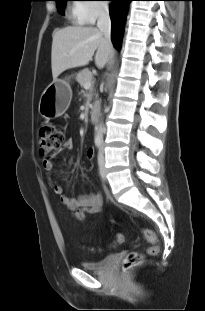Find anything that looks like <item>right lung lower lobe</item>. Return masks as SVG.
I'll list each match as a JSON object with an SVG mask.
<instances>
[{
    "mask_svg": "<svg viewBox=\"0 0 205 311\" xmlns=\"http://www.w3.org/2000/svg\"><path fill=\"white\" fill-rule=\"evenodd\" d=\"M110 17L112 22V42L116 49H119L121 42L127 3L131 0H111Z\"/></svg>",
    "mask_w": 205,
    "mask_h": 311,
    "instance_id": "98d812e1",
    "label": "right lung lower lobe"
}]
</instances>
